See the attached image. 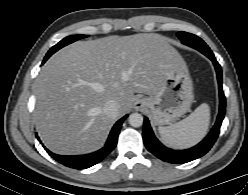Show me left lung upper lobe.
I'll return each instance as SVG.
<instances>
[{
    "label": "left lung upper lobe",
    "instance_id": "left-lung-upper-lobe-1",
    "mask_svg": "<svg viewBox=\"0 0 248 195\" xmlns=\"http://www.w3.org/2000/svg\"><path fill=\"white\" fill-rule=\"evenodd\" d=\"M178 38L182 41L183 44L188 45L192 48H195L199 51L200 48H203L207 51H211L207 44L198 36L180 31L177 34Z\"/></svg>",
    "mask_w": 248,
    "mask_h": 195
}]
</instances>
